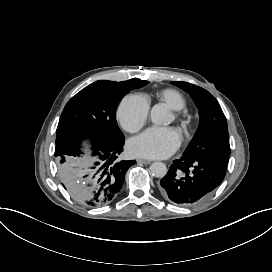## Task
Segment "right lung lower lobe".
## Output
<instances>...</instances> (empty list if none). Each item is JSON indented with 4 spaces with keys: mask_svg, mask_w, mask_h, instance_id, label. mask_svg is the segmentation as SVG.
Masks as SVG:
<instances>
[{
    "mask_svg": "<svg viewBox=\"0 0 272 272\" xmlns=\"http://www.w3.org/2000/svg\"><path fill=\"white\" fill-rule=\"evenodd\" d=\"M85 138L92 142L90 155L80 147ZM123 145L124 140L113 143L93 136H75L57 144L55 157L64 188L90 207L103 206L114 200L122 188L127 170L136 163L134 160L117 159Z\"/></svg>",
    "mask_w": 272,
    "mask_h": 272,
    "instance_id": "right-lung-lower-lobe-1",
    "label": "right lung lower lobe"
}]
</instances>
